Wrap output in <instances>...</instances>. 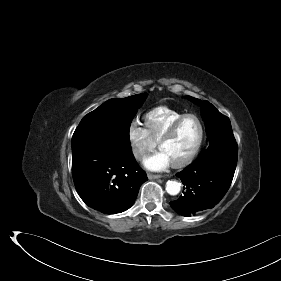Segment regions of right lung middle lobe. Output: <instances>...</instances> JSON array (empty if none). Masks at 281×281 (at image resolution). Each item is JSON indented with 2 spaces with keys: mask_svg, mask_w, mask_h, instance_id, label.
<instances>
[{
  "mask_svg": "<svg viewBox=\"0 0 281 281\" xmlns=\"http://www.w3.org/2000/svg\"><path fill=\"white\" fill-rule=\"evenodd\" d=\"M147 93L110 99L83 117L72 137V154L89 149L130 148L129 129Z\"/></svg>",
  "mask_w": 281,
  "mask_h": 281,
  "instance_id": "1",
  "label": "right lung middle lobe"
}]
</instances>
